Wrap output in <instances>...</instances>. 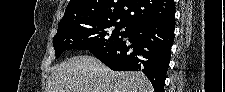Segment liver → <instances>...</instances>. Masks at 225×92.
Here are the masks:
<instances>
[{
  "label": "liver",
  "mask_w": 225,
  "mask_h": 92,
  "mask_svg": "<svg viewBox=\"0 0 225 92\" xmlns=\"http://www.w3.org/2000/svg\"><path fill=\"white\" fill-rule=\"evenodd\" d=\"M46 92H153L141 72L112 71L95 57L74 56L52 68Z\"/></svg>",
  "instance_id": "obj_1"
}]
</instances>
